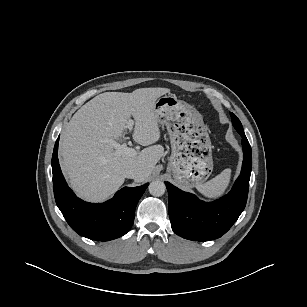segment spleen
<instances>
[{
    "label": "spleen",
    "instance_id": "spleen-1",
    "mask_svg": "<svg viewBox=\"0 0 307 307\" xmlns=\"http://www.w3.org/2000/svg\"><path fill=\"white\" fill-rule=\"evenodd\" d=\"M231 169L223 170L219 175L210 181L198 185L197 190L209 199H216L223 195L231 179Z\"/></svg>",
    "mask_w": 307,
    "mask_h": 307
}]
</instances>
